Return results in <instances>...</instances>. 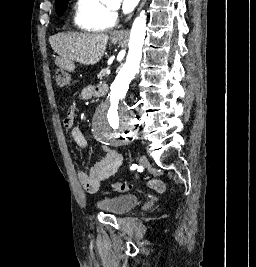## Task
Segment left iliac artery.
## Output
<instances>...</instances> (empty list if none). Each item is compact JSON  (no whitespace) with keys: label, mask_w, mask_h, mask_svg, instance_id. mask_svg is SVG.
Listing matches in <instances>:
<instances>
[{"label":"left iliac artery","mask_w":256,"mask_h":267,"mask_svg":"<svg viewBox=\"0 0 256 267\" xmlns=\"http://www.w3.org/2000/svg\"><path fill=\"white\" fill-rule=\"evenodd\" d=\"M137 168V165L136 164H133L132 166H131V169L132 170H135Z\"/></svg>","instance_id":"left-iliac-artery-1"}]
</instances>
